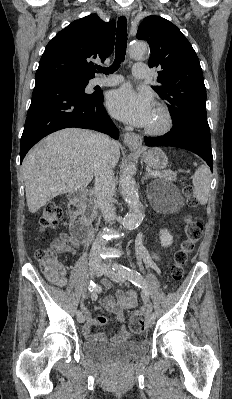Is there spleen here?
I'll use <instances>...</instances> for the list:
<instances>
[{"label":"spleen","instance_id":"3e777b00","mask_svg":"<svg viewBox=\"0 0 232 399\" xmlns=\"http://www.w3.org/2000/svg\"><path fill=\"white\" fill-rule=\"evenodd\" d=\"M193 186L195 188V196L201 205L207 203L210 194L211 172L208 166H200L197 168L194 176H192Z\"/></svg>","mask_w":232,"mask_h":399}]
</instances>
